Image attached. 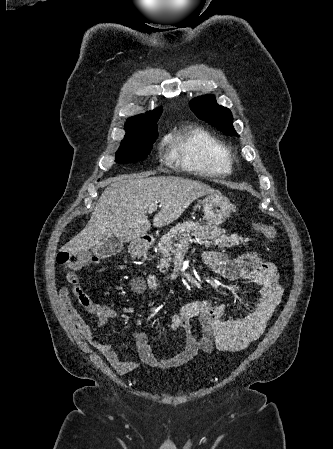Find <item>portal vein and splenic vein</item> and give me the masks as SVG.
<instances>
[{
  "instance_id": "18ae733b",
  "label": "portal vein and splenic vein",
  "mask_w": 333,
  "mask_h": 449,
  "mask_svg": "<svg viewBox=\"0 0 333 449\" xmlns=\"http://www.w3.org/2000/svg\"><path fill=\"white\" fill-rule=\"evenodd\" d=\"M157 206H158V205L150 206V207H149V211H150V212L155 211V210L157 209Z\"/></svg>"
}]
</instances>
